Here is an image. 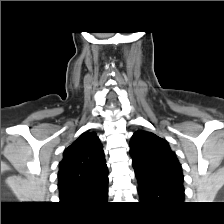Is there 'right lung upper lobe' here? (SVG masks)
<instances>
[{
	"label": "right lung upper lobe",
	"mask_w": 224,
	"mask_h": 224,
	"mask_svg": "<svg viewBox=\"0 0 224 224\" xmlns=\"http://www.w3.org/2000/svg\"><path fill=\"white\" fill-rule=\"evenodd\" d=\"M58 178L62 203L97 201L108 190L105 154L95 133H83L64 151Z\"/></svg>",
	"instance_id": "obj_1"
}]
</instances>
